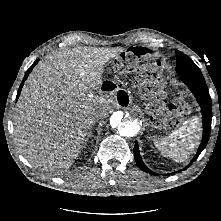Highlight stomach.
I'll list each match as a JSON object with an SVG mask.
<instances>
[{
	"label": "stomach",
	"instance_id": "obj_1",
	"mask_svg": "<svg viewBox=\"0 0 221 221\" xmlns=\"http://www.w3.org/2000/svg\"><path fill=\"white\" fill-rule=\"evenodd\" d=\"M165 80L160 65L153 63L152 73L145 76L144 82L139 84L140 94L145 101V111L151 116L152 125L155 128L165 127L172 120V114L183 118L179 110L172 113V104L166 99L164 90Z\"/></svg>",
	"mask_w": 221,
	"mask_h": 221
}]
</instances>
